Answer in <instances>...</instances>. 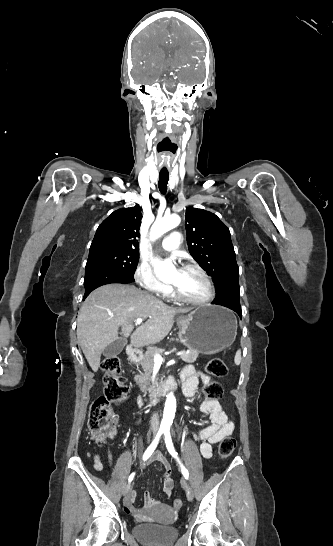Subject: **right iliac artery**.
<instances>
[{"instance_id": "right-iliac-artery-1", "label": "right iliac artery", "mask_w": 333, "mask_h": 546, "mask_svg": "<svg viewBox=\"0 0 333 546\" xmlns=\"http://www.w3.org/2000/svg\"><path fill=\"white\" fill-rule=\"evenodd\" d=\"M164 430L160 429L155 437V439L153 440V442L150 444V446L146 449L144 455H143V460H147L151 455L152 453L154 452V450L156 449L158 443H159V440H160V437L161 435L163 434ZM135 476V473H132L130 476H129V483L133 480Z\"/></svg>"}]
</instances>
